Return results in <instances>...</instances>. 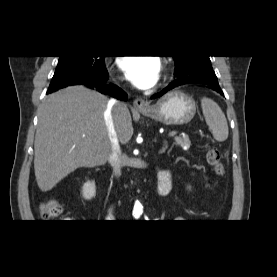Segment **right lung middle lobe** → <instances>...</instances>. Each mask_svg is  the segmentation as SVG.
Instances as JSON below:
<instances>
[{
	"instance_id": "right-lung-middle-lobe-1",
	"label": "right lung middle lobe",
	"mask_w": 277,
	"mask_h": 277,
	"mask_svg": "<svg viewBox=\"0 0 277 277\" xmlns=\"http://www.w3.org/2000/svg\"><path fill=\"white\" fill-rule=\"evenodd\" d=\"M107 79L104 56H60L48 90L55 91L84 80L102 83Z\"/></svg>"
}]
</instances>
